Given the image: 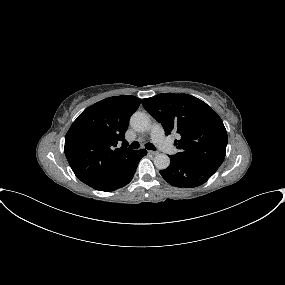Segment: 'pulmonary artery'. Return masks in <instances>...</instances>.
<instances>
[{
	"label": "pulmonary artery",
	"mask_w": 285,
	"mask_h": 285,
	"mask_svg": "<svg viewBox=\"0 0 285 285\" xmlns=\"http://www.w3.org/2000/svg\"><path fill=\"white\" fill-rule=\"evenodd\" d=\"M150 135L153 142L165 153L175 154L177 152L173 143L164 136L162 127L158 123L151 126Z\"/></svg>",
	"instance_id": "obj_1"
}]
</instances>
